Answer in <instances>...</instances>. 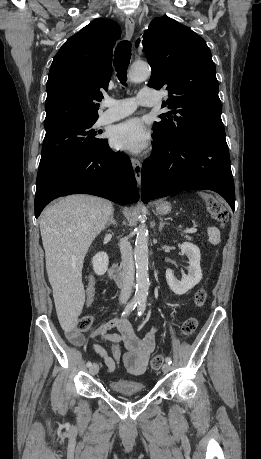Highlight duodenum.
Here are the masks:
<instances>
[{
	"instance_id": "1",
	"label": "duodenum",
	"mask_w": 261,
	"mask_h": 459,
	"mask_svg": "<svg viewBox=\"0 0 261 459\" xmlns=\"http://www.w3.org/2000/svg\"><path fill=\"white\" fill-rule=\"evenodd\" d=\"M109 274L113 279L119 280L122 277V268L118 263L113 262L110 264Z\"/></svg>"
}]
</instances>
